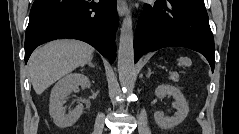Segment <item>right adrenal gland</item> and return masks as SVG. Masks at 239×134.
<instances>
[{"mask_svg":"<svg viewBox=\"0 0 239 134\" xmlns=\"http://www.w3.org/2000/svg\"><path fill=\"white\" fill-rule=\"evenodd\" d=\"M88 65L91 66V67H95V65L91 61L88 62Z\"/></svg>","mask_w":239,"mask_h":134,"instance_id":"1","label":"right adrenal gland"}]
</instances>
